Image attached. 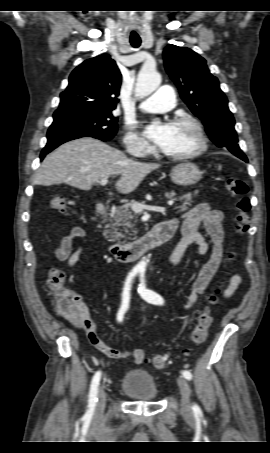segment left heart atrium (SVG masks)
Here are the masks:
<instances>
[{"label": "left heart atrium", "mask_w": 270, "mask_h": 453, "mask_svg": "<svg viewBox=\"0 0 270 453\" xmlns=\"http://www.w3.org/2000/svg\"><path fill=\"white\" fill-rule=\"evenodd\" d=\"M172 134V124L165 123L156 127H148L145 129V135L156 143L160 148H163Z\"/></svg>", "instance_id": "left-heart-atrium-1"}]
</instances>
